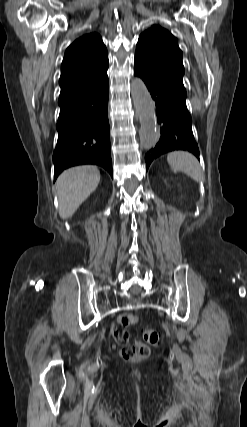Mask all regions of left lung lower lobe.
<instances>
[{
    "label": "left lung lower lobe",
    "mask_w": 247,
    "mask_h": 427,
    "mask_svg": "<svg viewBox=\"0 0 247 427\" xmlns=\"http://www.w3.org/2000/svg\"><path fill=\"white\" fill-rule=\"evenodd\" d=\"M134 74L142 78L152 98L156 101L160 139L145 155L146 169L160 155L173 150H186L199 159L198 145L192 132V120L186 107V95L149 74L135 62Z\"/></svg>",
    "instance_id": "1"
}]
</instances>
